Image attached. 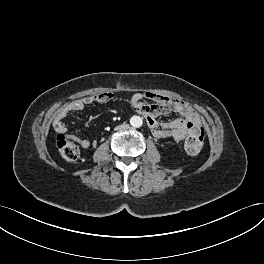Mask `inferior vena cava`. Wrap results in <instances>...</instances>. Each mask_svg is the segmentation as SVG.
<instances>
[{"mask_svg": "<svg viewBox=\"0 0 264 264\" xmlns=\"http://www.w3.org/2000/svg\"><path fill=\"white\" fill-rule=\"evenodd\" d=\"M128 127V124L127 123H120L118 125L115 126V129L116 130H119V129H125Z\"/></svg>", "mask_w": 264, "mask_h": 264, "instance_id": "1", "label": "inferior vena cava"}]
</instances>
